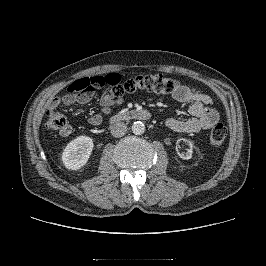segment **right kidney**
Returning <instances> with one entry per match:
<instances>
[{"label": "right kidney", "instance_id": "ca27d5eb", "mask_svg": "<svg viewBox=\"0 0 266 266\" xmlns=\"http://www.w3.org/2000/svg\"><path fill=\"white\" fill-rule=\"evenodd\" d=\"M93 147V140L88 136H79L72 140L62 153L64 166L69 170L80 169L87 163Z\"/></svg>", "mask_w": 266, "mask_h": 266}]
</instances>
